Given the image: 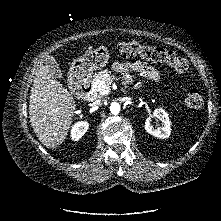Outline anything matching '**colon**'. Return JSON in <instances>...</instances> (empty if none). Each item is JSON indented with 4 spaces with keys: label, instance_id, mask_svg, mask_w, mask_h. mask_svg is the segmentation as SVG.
<instances>
[{
    "label": "colon",
    "instance_id": "colon-1",
    "mask_svg": "<svg viewBox=\"0 0 221 221\" xmlns=\"http://www.w3.org/2000/svg\"><path fill=\"white\" fill-rule=\"evenodd\" d=\"M119 54L122 57L140 55L143 58L158 64L170 66L175 73L182 75L188 70V61L177 53L158 47H149L141 45L136 41L123 42L118 47ZM184 103L189 108H200L203 104V98L199 90L191 89L185 96Z\"/></svg>",
    "mask_w": 221,
    "mask_h": 221
}]
</instances>
